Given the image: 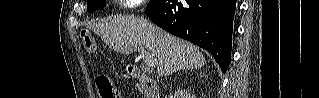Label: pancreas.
<instances>
[{"mask_svg":"<svg viewBox=\"0 0 319 98\" xmlns=\"http://www.w3.org/2000/svg\"><path fill=\"white\" fill-rule=\"evenodd\" d=\"M139 89H140V90H143V86L140 85V86H139Z\"/></svg>","mask_w":319,"mask_h":98,"instance_id":"obj_1","label":"pancreas"}]
</instances>
